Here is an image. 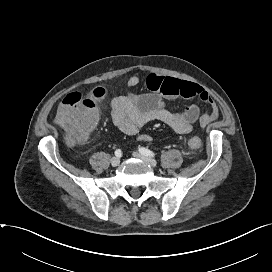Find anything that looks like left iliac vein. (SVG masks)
I'll return each instance as SVG.
<instances>
[{"label": "left iliac vein", "mask_w": 272, "mask_h": 272, "mask_svg": "<svg viewBox=\"0 0 272 272\" xmlns=\"http://www.w3.org/2000/svg\"><path fill=\"white\" fill-rule=\"evenodd\" d=\"M133 156L138 158V159H141V160L145 161L146 163L150 164L153 167L157 166V162H156L155 159L147 157V156H145V155H143V154H141L139 152H134Z\"/></svg>", "instance_id": "left-iliac-vein-1"}]
</instances>
